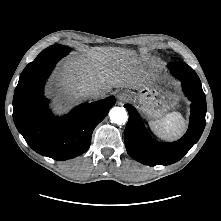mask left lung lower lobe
Returning <instances> with one entry per match:
<instances>
[{"mask_svg": "<svg viewBox=\"0 0 221 221\" xmlns=\"http://www.w3.org/2000/svg\"><path fill=\"white\" fill-rule=\"evenodd\" d=\"M168 67L182 82L184 93L192 102L189 128L176 142L154 141L148 135L136 109L131 105H125L129 113L124 131L126 149L133 159L145 165H169L179 161L199 140L205 127L206 97L199 77L184 62H172Z\"/></svg>", "mask_w": 221, "mask_h": 221, "instance_id": "0a47b994", "label": "left lung lower lobe"}]
</instances>
